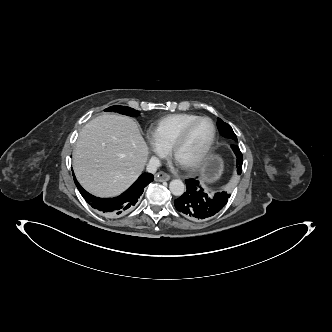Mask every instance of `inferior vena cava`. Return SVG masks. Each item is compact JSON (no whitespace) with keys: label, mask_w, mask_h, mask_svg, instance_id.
I'll return each mask as SVG.
<instances>
[{"label":"inferior vena cava","mask_w":332,"mask_h":332,"mask_svg":"<svg viewBox=\"0 0 332 332\" xmlns=\"http://www.w3.org/2000/svg\"><path fill=\"white\" fill-rule=\"evenodd\" d=\"M160 166H161L160 160L157 157H151L147 165V171L149 173H155Z\"/></svg>","instance_id":"obj_1"}]
</instances>
